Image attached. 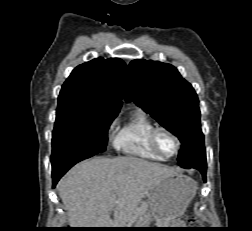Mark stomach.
<instances>
[{
    "label": "stomach",
    "instance_id": "0dacf381",
    "mask_svg": "<svg viewBox=\"0 0 252 231\" xmlns=\"http://www.w3.org/2000/svg\"><path fill=\"white\" fill-rule=\"evenodd\" d=\"M196 190L195 181L181 174L162 179L150 191L147 200L149 212L156 221L157 228H176L172 226L185 212ZM145 225L144 220H139L136 227L132 228H146Z\"/></svg>",
    "mask_w": 252,
    "mask_h": 231
}]
</instances>
